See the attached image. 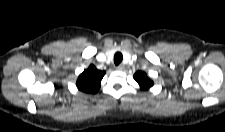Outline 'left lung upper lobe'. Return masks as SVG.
<instances>
[{"mask_svg":"<svg viewBox=\"0 0 225 132\" xmlns=\"http://www.w3.org/2000/svg\"><path fill=\"white\" fill-rule=\"evenodd\" d=\"M134 79L140 85L142 90H147L153 86V81L150 80L145 72L138 71L134 75Z\"/></svg>","mask_w":225,"mask_h":132,"instance_id":"obj_1","label":"left lung upper lobe"}]
</instances>
